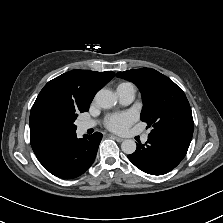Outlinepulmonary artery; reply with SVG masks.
<instances>
[{
    "label": "pulmonary artery",
    "instance_id": "1",
    "mask_svg": "<svg viewBox=\"0 0 223 223\" xmlns=\"http://www.w3.org/2000/svg\"><path fill=\"white\" fill-rule=\"evenodd\" d=\"M116 94L122 104H129L131 103L136 94V89L132 84L124 83L120 84L116 89ZM94 122H85L83 127L88 129L94 126ZM140 139L143 143H148L150 141V136L147 132H142L140 134Z\"/></svg>",
    "mask_w": 223,
    "mask_h": 223
}]
</instances>
